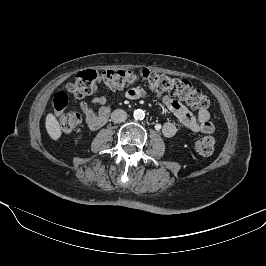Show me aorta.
<instances>
[{"mask_svg":"<svg viewBox=\"0 0 266 266\" xmlns=\"http://www.w3.org/2000/svg\"><path fill=\"white\" fill-rule=\"evenodd\" d=\"M133 116H134V118H135L136 120H143L144 117H145V113H144L143 110H141V109H137V110L134 111Z\"/></svg>","mask_w":266,"mask_h":266,"instance_id":"aorta-1","label":"aorta"}]
</instances>
